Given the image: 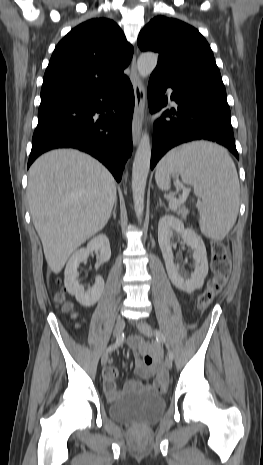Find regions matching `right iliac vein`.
<instances>
[{
	"mask_svg": "<svg viewBox=\"0 0 263 465\" xmlns=\"http://www.w3.org/2000/svg\"><path fill=\"white\" fill-rule=\"evenodd\" d=\"M124 328H125V320H124V318L119 317L117 319L115 327H114L113 336L115 338H118L120 336V334L122 333V331L124 330ZM108 357H109L108 351L104 352V354L102 355V358H101L102 366L106 365V363L108 361Z\"/></svg>",
	"mask_w": 263,
	"mask_h": 465,
	"instance_id": "63e3f726",
	"label": "right iliac vein"
}]
</instances>
